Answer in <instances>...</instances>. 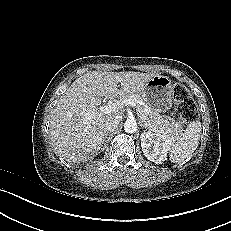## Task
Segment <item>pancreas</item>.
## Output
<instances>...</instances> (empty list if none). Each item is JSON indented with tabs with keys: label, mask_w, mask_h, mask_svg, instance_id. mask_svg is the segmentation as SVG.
I'll return each instance as SVG.
<instances>
[{
	"label": "pancreas",
	"mask_w": 231,
	"mask_h": 231,
	"mask_svg": "<svg viewBox=\"0 0 231 231\" xmlns=\"http://www.w3.org/2000/svg\"><path fill=\"white\" fill-rule=\"evenodd\" d=\"M122 99H130L136 104L137 115L140 117L141 122L149 130L156 133H163L171 137H179L183 131V127L178 122H170L164 118L159 112L151 109L146 105L139 95H127Z\"/></svg>",
	"instance_id": "pancreas-1"
}]
</instances>
